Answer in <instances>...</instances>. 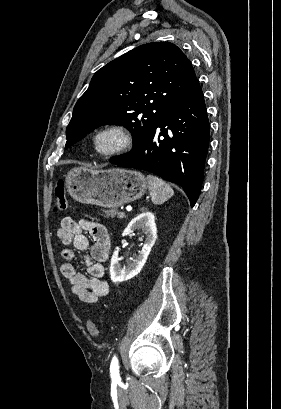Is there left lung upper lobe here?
<instances>
[{"instance_id":"left-lung-upper-lobe-1","label":"left lung upper lobe","mask_w":281,"mask_h":409,"mask_svg":"<svg viewBox=\"0 0 281 409\" xmlns=\"http://www.w3.org/2000/svg\"><path fill=\"white\" fill-rule=\"evenodd\" d=\"M195 79L191 62L172 43L153 42L127 52L94 74L74 107L66 148L105 124L127 127L135 146Z\"/></svg>"}]
</instances>
